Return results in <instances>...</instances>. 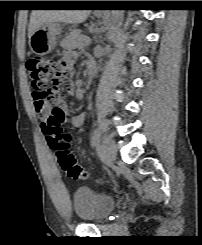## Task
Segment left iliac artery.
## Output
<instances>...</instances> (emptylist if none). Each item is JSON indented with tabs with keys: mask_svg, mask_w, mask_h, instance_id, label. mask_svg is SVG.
Segmentation results:
<instances>
[{
	"mask_svg": "<svg viewBox=\"0 0 202 245\" xmlns=\"http://www.w3.org/2000/svg\"><path fill=\"white\" fill-rule=\"evenodd\" d=\"M99 137H100V132H99V129L96 128L94 130V133H93V136H92V140H91V146L92 147H95L98 144Z\"/></svg>",
	"mask_w": 202,
	"mask_h": 245,
	"instance_id": "1",
	"label": "left iliac artery"
}]
</instances>
